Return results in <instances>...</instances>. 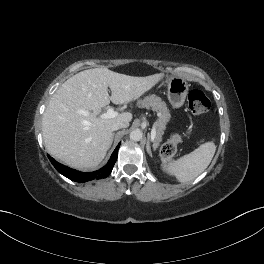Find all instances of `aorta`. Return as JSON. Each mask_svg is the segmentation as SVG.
Wrapping results in <instances>:
<instances>
[{
    "instance_id": "obj_1",
    "label": "aorta",
    "mask_w": 264,
    "mask_h": 264,
    "mask_svg": "<svg viewBox=\"0 0 264 264\" xmlns=\"http://www.w3.org/2000/svg\"><path fill=\"white\" fill-rule=\"evenodd\" d=\"M143 133L140 129H135L130 132V139L133 141H140L142 139Z\"/></svg>"
}]
</instances>
